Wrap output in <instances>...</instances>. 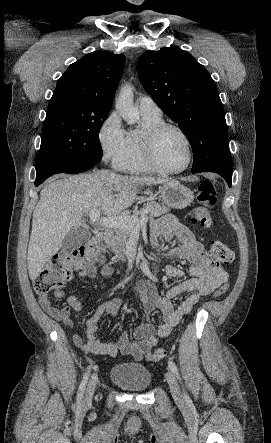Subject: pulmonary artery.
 Wrapping results in <instances>:
<instances>
[{"label":"pulmonary artery","instance_id":"pulmonary-artery-1","mask_svg":"<svg viewBox=\"0 0 271 443\" xmlns=\"http://www.w3.org/2000/svg\"><path fill=\"white\" fill-rule=\"evenodd\" d=\"M142 115H161V110L156 102L148 95H142L137 100Z\"/></svg>","mask_w":271,"mask_h":443}]
</instances>
